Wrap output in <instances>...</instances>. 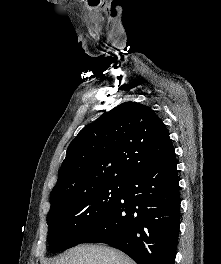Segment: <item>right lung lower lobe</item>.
Listing matches in <instances>:
<instances>
[{
	"label": "right lung lower lobe",
	"instance_id": "98d812e1",
	"mask_svg": "<svg viewBox=\"0 0 221 264\" xmlns=\"http://www.w3.org/2000/svg\"><path fill=\"white\" fill-rule=\"evenodd\" d=\"M176 165L174 155L128 177L115 207L81 243L109 244L137 264H174L180 227Z\"/></svg>",
	"mask_w": 221,
	"mask_h": 264
}]
</instances>
